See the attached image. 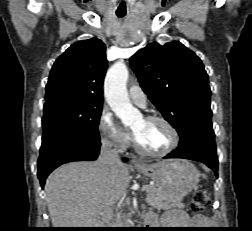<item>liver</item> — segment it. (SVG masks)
<instances>
[{
	"label": "liver",
	"instance_id": "1",
	"mask_svg": "<svg viewBox=\"0 0 252 231\" xmlns=\"http://www.w3.org/2000/svg\"><path fill=\"white\" fill-rule=\"evenodd\" d=\"M130 183L129 170L114 172L99 161L72 162L52 172L45 184L54 228H103Z\"/></svg>",
	"mask_w": 252,
	"mask_h": 231
}]
</instances>
